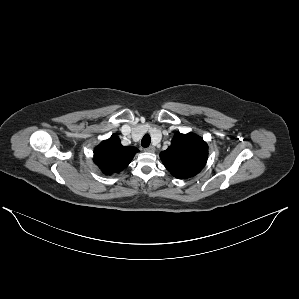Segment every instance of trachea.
Here are the masks:
<instances>
[{
    "label": "trachea",
    "instance_id": "trachea-1",
    "mask_svg": "<svg viewBox=\"0 0 299 299\" xmlns=\"http://www.w3.org/2000/svg\"><path fill=\"white\" fill-rule=\"evenodd\" d=\"M151 143V137L149 134H145L141 140V145L147 148Z\"/></svg>",
    "mask_w": 299,
    "mask_h": 299
}]
</instances>
